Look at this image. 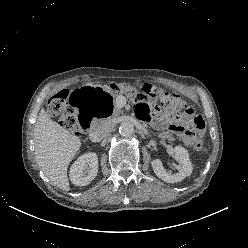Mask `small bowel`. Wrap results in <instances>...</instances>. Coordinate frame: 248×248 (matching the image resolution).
<instances>
[{
	"label": "small bowel",
	"mask_w": 248,
	"mask_h": 248,
	"mask_svg": "<svg viewBox=\"0 0 248 248\" xmlns=\"http://www.w3.org/2000/svg\"><path fill=\"white\" fill-rule=\"evenodd\" d=\"M135 113L139 119L148 121L157 127L167 126L171 132L180 136L188 145H192L197 137L201 135V132L190 128V116L188 114L163 116L156 107L145 103L137 104Z\"/></svg>",
	"instance_id": "small-bowel-1"
}]
</instances>
